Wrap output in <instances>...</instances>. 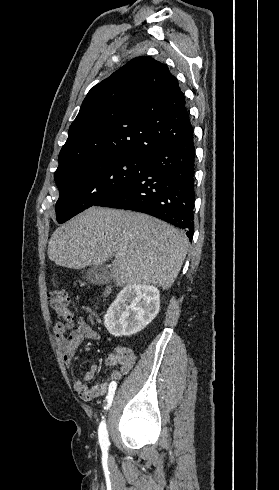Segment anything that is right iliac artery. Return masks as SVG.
<instances>
[{"label": "right iliac artery", "mask_w": 279, "mask_h": 490, "mask_svg": "<svg viewBox=\"0 0 279 490\" xmlns=\"http://www.w3.org/2000/svg\"><path fill=\"white\" fill-rule=\"evenodd\" d=\"M117 380H112V382L110 383V387H109V392H108V395L106 397L107 399V407H105L104 409H109V407L111 406L112 404V401H113V396L115 394V391L118 389V386H117ZM98 436H99V443H100V446L102 448V450L104 451H107L109 445H110V442H109V439H108V432H107V428H106V423L105 421H102L100 423V426H99V429H98Z\"/></svg>", "instance_id": "82829eb1"}]
</instances>
